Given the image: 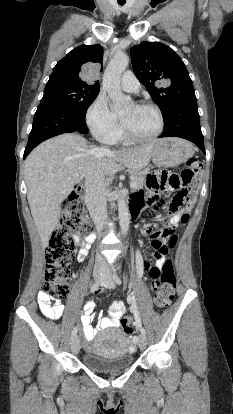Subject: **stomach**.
<instances>
[{"mask_svg":"<svg viewBox=\"0 0 233 414\" xmlns=\"http://www.w3.org/2000/svg\"><path fill=\"white\" fill-rule=\"evenodd\" d=\"M194 154L193 146L178 138L155 141L152 161L160 167H176L185 163Z\"/></svg>","mask_w":233,"mask_h":414,"instance_id":"1","label":"stomach"}]
</instances>
